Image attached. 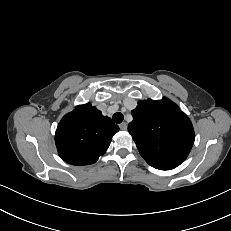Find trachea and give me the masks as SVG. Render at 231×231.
Listing matches in <instances>:
<instances>
[{
	"label": "trachea",
	"mask_w": 231,
	"mask_h": 231,
	"mask_svg": "<svg viewBox=\"0 0 231 231\" xmlns=\"http://www.w3.org/2000/svg\"><path fill=\"white\" fill-rule=\"evenodd\" d=\"M112 119L115 123L117 124H120L123 119H124V116L121 112H116L113 116H112Z\"/></svg>",
	"instance_id": "3493384b"
}]
</instances>
